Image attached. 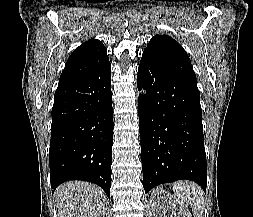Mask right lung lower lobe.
<instances>
[{"instance_id": "1", "label": "right lung lower lobe", "mask_w": 253, "mask_h": 217, "mask_svg": "<svg viewBox=\"0 0 253 217\" xmlns=\"http://www.w3.org/2000/svg\"><path fill=\"white\" fill-rule=\"evenodd\" d=\"M110 63L58 85L49 151L51 188L68 180L99 185L110 197L113 115Z\"/></svg>"}]
</instances>
